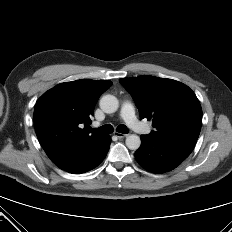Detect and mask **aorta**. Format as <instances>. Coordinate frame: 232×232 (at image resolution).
Returning <instances> with one entry per match:
<instances>
[{
    "label": "aorta",
    "mask_w": 232,
    "mask_h": 232,
    "mask_svg": "<svg viewBox=\"0 0 232 232\" xmlns=\"http://www.w3.org/2000/svg\"><path fill=\"white\" fill-rule=\"evenodd\" d=\"M99 105H100V108L105 113L110 114V113H114L117 111V109L119 107V101L115 96L107 94V95H104L100 99ZM125 142H126V146L130 150H137L141 145L140 137L138 135H134V134L127 136Z\"/></svg>",
    "instance_id": "aorta-1"
}]
</instances>
